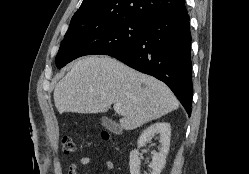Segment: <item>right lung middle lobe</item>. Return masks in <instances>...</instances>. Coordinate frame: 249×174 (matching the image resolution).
<instances>
[{"instance_id":"right-lung-middle-lobe-1","label":"right lung middle lobe","mask_w":249,"mask_h":174,"mask_svg":"<svg viewBox=\"0 0 249 174\" xmlns=\"http://www.w3.org/2000/svg\"><path fill=\"white\" fill-rule=\"evenodd\" d=\"M144 26L145 20L126 18L67 31L56 56V66L60 69L85 55L120 53L141 37Z\"/></svg>"}]
</instances>
